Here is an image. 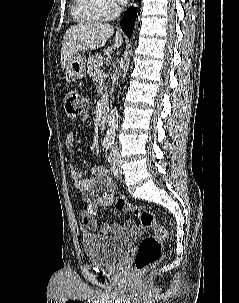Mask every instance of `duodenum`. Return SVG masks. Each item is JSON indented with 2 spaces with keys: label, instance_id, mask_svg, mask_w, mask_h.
<instances>
[{
  "label": "duodenum",
  "instance_id": "1",
  "mask_svg": "<svg viewBox=\"0 0 239 303\" xmlns=\"http://www.w3.org/2000/svg\"><path fill=\"white\" fill-rule=\"evenodd\" d=\"M107 118H108V113L107 111L103 110L98 114V125L100 128L105 129L107 126Z\"/></svg>",
  "mask_w": 239,
  "mask_h": 303
}]
</instances>
